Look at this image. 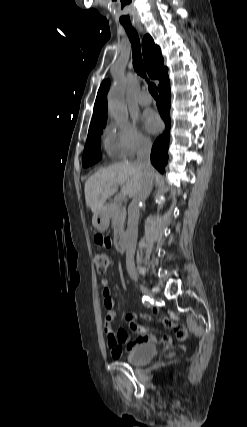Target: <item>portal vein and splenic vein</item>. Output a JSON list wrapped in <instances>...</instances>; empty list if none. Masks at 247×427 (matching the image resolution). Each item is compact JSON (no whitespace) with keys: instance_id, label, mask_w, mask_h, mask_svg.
Instances as JSON below:
<instances>
[{"instance_id":"18ae733b","label":"portal vein and splenic vein","mask_w":247,"mask_h":427,"mask_svg":"<svg viewBox=\"0 0 247 427\" xmlns=\"http://www.w3.org/2000/svg\"><path fill=\"white\" fill-rule=\"evenodd\" d=\"M125 196H126V193L125 192H121L116 198H115V200H117V201H122L124 198H125Z\"/></svg>"}]
</instances>
